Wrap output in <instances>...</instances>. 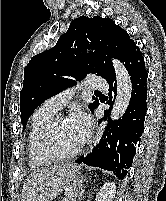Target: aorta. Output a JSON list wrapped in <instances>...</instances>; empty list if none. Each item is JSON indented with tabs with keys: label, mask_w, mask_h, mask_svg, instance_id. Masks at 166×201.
Returning <instances> with one entry per match:
<instances>
[{
	"label": "aorta",
	"mask_w": 166,
	"mask_h": 201,
	"mask_svg": "<svg viewBox=\"0 0 166 201\" xmlns=\"http://www.w3.org/2000/svg\"><path fill=\"white\" fill-rule=\"evenodd\" d=\"M112 62L116 73L117 95L110 117L113 120H117L122 117L129 106L132 86L130 76L123 63L116 59H113Z\"/></svg>",
	"instance_id": "obj_1"
}]
</instances>
